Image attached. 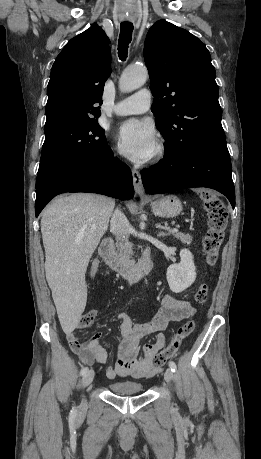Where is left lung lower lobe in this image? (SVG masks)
Returning a JSON list of instances; mask_svg holds the SVG:
<instances>
[{"label": "left lung lower lobe", "mask_w": 261, "mask_h": 459, "mask_svg": "<svg viewBox=\"0 0 261 459\" xmlns=\"http://www.w3.org/2000/svg\"><path fill=\"white\" fill-rule=\"evenodd\" d=\"M141 176L147 194L208 187L224 194L235 207V189L226 141L200 145L181 157L165 153L158 164L142 170Z\"/></svg>", "instance_id": "1"}]
</instances>
